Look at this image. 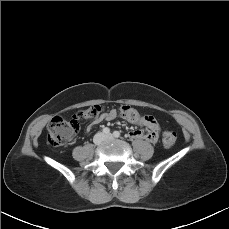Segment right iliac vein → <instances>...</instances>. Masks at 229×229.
I'll return each instance as SVG.
<instances>
[{
  "label": "right iliac vein",
  "instance_id": "right-iliac-vein-1",
  "mask_svg": "<svg viewBox=\"0 0 229 229\" xmlns=\"http://www.w3.org/2000/svg\"><path fill=\"white\" fill-rule=\"evenodd\" d=\"M104 140H105L104 134H103V133H99V134H97V136L95 137L94 142H95V143H100V142H102V141H104Z\"/></svg>",
  "mask_w": 229,
  "mask_h": 229
}]
</instances>
